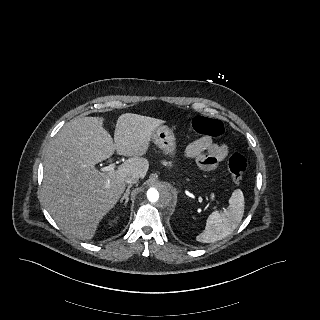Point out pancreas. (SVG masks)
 <instances>
[{
    "mask_svg": "<svg viewBox=\"0 0 320 320\" xmlns=\"http://www.w3.org/2000/svg\"><path fill=\"white\" fill-rule=\"evenodd\" d=\"M163 164H164V165H167V166H171V164H170L169 162H165V161H164ZM212 197H213V196H212Z\"/></svg>",
    "mask_w": 320,
    "mask_h": 320,
    "instance_id": "pancreas-1",
    "label": "pancreas"
}]
</instances>
